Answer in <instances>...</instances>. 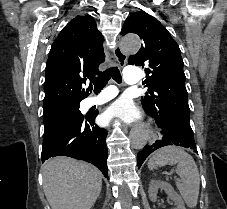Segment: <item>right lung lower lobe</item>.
<instances>
[{
  "mask_svg": "<svg viewBox=\"0 0 227 209\" xmlns=\"http://www.w3.org/2000/svg\"><path fill=\"white\" fill-rule=\"evenodd\" d=\"M96 114L66 121L44 133L42 162L54 156L84 160L98 167L108 178L107 131L94 123Z\"/></svg>",
  "mask_w": 227,
  "mask_h": 209,
  "instance_id": "1",
  "label": "right lung lower lobe"
}]
</instances>
